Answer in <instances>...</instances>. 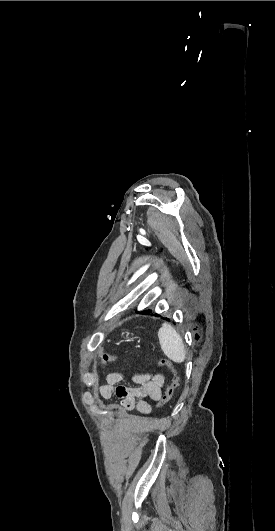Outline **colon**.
<instances>
[{"label": "colon", "instance_id": "colon-1", "mask_svg": "<svg viewBox=\"0 0 275 531\" xmlns=\"http://www.w3.org/2000/svg\"><path fill=\"white\" fill-rule=\"evenodd\" d=\"M115 353L113 351H109L107 349H104L100 353V365L102 368H104L108 363H111L115 360L114 358ZM159 366L166 368L171 376V381L167 386L166 393L164 397L160 399V402L157 404L156 411L158 413H161L163 409H165L166 406H168L170 403L174 400V394L176 393V390L179 385V377L176 368L174 365L166 359H162L159 361Z\"/></svg>", "mask_w": 275, "mask_h": 531}]
</instances>
